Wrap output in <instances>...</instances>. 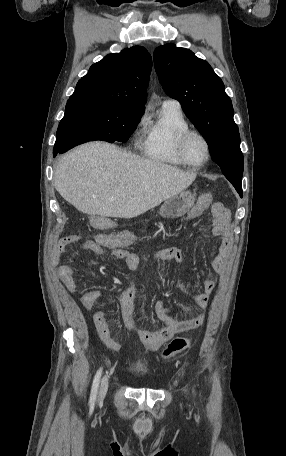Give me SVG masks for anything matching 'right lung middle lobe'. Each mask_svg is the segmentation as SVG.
Segmentation results:
<instances>
[{
  "mask_svg": "<svg viewBox=\"0 0 286 456\" xmlns=\"http://www.w3.org/2000/svg\"><path fill=\"white\" fill-rule=\"evenodd\" d=\"M144 110L87 100L67 101L54 149L64 153L93 140L126 142L136 129Z\"/></svg>",
  "mask_w": 286,
  "mask_h": 456,
  "instance_id": "obj_1",
  "label": "right lung middle lobe"
}]
</instances>
